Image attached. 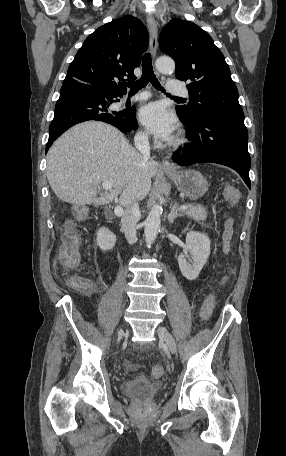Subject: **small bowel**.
<instances>
[{"mask_svg": "<svg viewBox=\"0 0 286 456\" xmlns=\"http://www.w3.org/2000/svg\"><path fill=\"white\" fill-rule=\"evenodd\" d=\"M223 225H224V231H223V252L225 254H229V241L233 233V219L228 216L224 215L223 216ZM84 295V293H83Z\"/></svg>", "mask_w": 286, "mask_h": 456, "instance_id": "1", "label": "small bowel"}]
</instances>
